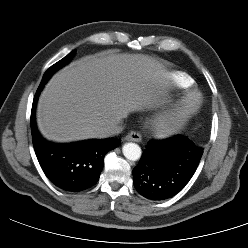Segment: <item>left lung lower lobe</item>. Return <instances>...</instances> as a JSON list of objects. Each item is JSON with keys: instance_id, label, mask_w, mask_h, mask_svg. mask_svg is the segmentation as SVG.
Listing matches in <instances>:
<instances>
[{"instance_id": "1", "label": "left lung lower lobe", "mask_w": 248, "mask_h": 248, "mask_svg": "<svg viewBox=\"0 0 248 248\" xmlns=\"http://www.w3.org/2000/svg\"><path fill=\"white\" fill-rule=\"evenodd\" d=\"M203 152V147L183 135L150 141L133 169L136 190L154 201L175 196L194 175Z\"/></svg>"}]
</instances>
